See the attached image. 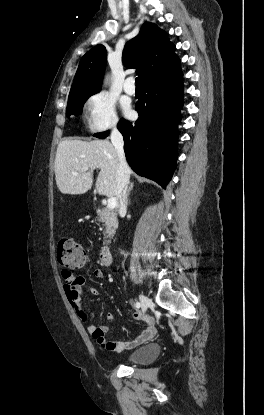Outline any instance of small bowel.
Segmentation results:
<instances>
[{
    "mask_svg": "<svg viewBox=\"0 0 264 415\" xmlns=\"http://www.w3.org/2000/svg\"><path fill=\"white\" fill-rule=\"evenodd\" d=\"M92 274L96 279H102L105 276L104 271L100 267L93 268ZM61 276L64 281V291L73 305L76 314L84 323H87L88 318L84 312L82 303V288L86 285V280L81 276H74L71 271L67 269L62 270ZM91 293L95 296L99 295V291L96 288H91ZM106 317L112 319L113 315L107 314ZM131 318L134 321H139L141 319V314L139 312H134L131 315ZM86 329L103 349L115 353H121L124 350L144 345L150 342L156 333L154 317L148 319L146 325L143 326L136 336L121 341L107 340L106 333L109 331L108 325L87 324Z\"/></svg>",
    "mask_w": 264,
    "mask_h": 415,
    "instance_id": "1",
    "label": "small bowel"
}]
</instances>
